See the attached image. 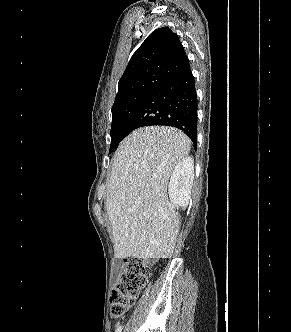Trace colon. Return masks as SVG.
Instances as JSON below:
<instances>
[{"label": "colon", "mask_w": 291, "mask_h": 332, "mask_svg": "<svg viewBox=\"0 0 291 332\" xmlns=\"http://www.w3.org/2000/svg\"><path fill=\"white\" fill-rule=\"evenodd\" d=\"M150 275V267L139 257H126L118 270L111 291L110 304L114 316H121L134 303Z\"/></svg>", "instance_id": "obj_1"}]
</instances>
